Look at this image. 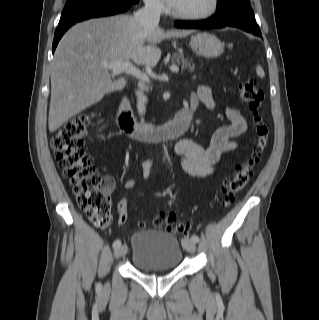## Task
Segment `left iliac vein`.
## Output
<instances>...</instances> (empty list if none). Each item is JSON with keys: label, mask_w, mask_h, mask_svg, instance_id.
Instances as JSON below:
<instances>
[{"label": "left iliac vein", "mask_w": 319, "mask_h": 320, "mask_svg": "<svg viewBox=\"0 0 319 320\" xmlns=\"http://www.w3.org/2000/svg\"><path fill=\"white\" fill-rule=\"evenodd\" d=\"M183 247L186 251L194 253L196 250V243L189 238H185L182 242Z\"/></svg>", "instance_id": "4c4485c4"}]
</instances>
